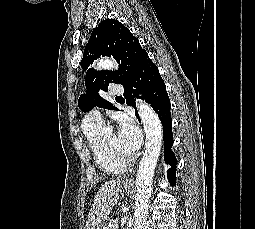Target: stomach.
Wrapping results in <instances>:
<instances>
[{"label": "stomach", "mask_w": 255, "mask_h": 229, "mask_svg": "<svg viewBox=\"0 0 255 229\" xmlns=\"http://www.w3.org/2000/svg\"><path fill=\"white\" fill-rule=\"evenodd\" d=\"M125 191H130V187L124 186ZM89 229H106L104 222L91 226Z\"/></svg>", "instance_id": "1"}]
</instances>
